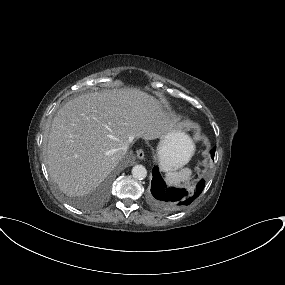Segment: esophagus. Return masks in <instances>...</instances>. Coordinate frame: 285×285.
<instances>
[{
    "label": "esophagus",
    "mask_w": 285,
    "mask_h": 285,
    "mask_svg": "<svg viewBox=\"0 0 285 285\" xmlns=\"http://www.w3.org/2000/svg\"><path fill=\"white\" fill-rule=\"evenodd\" d=\"M137 157H138V159H143L144 158V151L142 149H139L137 151Z\"/></svg>",
    "instance_id": "obj_1"
}]
</instances>
